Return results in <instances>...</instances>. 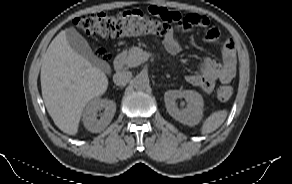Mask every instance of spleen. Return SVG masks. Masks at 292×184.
Segmentation results:
<instances>
[{
	"instance_id": "obj_1",
	"label": "spleen",
	"mask_w": 292,
	"mask_h": 184,
	"mask_svg": "<svg viewBox=\"0 0 292 184\" xmlns=\"http://www.w3.org/2000/svg\"><path fill=\"white\" fill-rule=\"evenodd\" d=\"M227 114H228L227 110H219V111L213 112L203 122V125L201 127V134L203 135L209 134L215 131L216 129H218L225 121Z\"/></svg>"
}]
</instances>
